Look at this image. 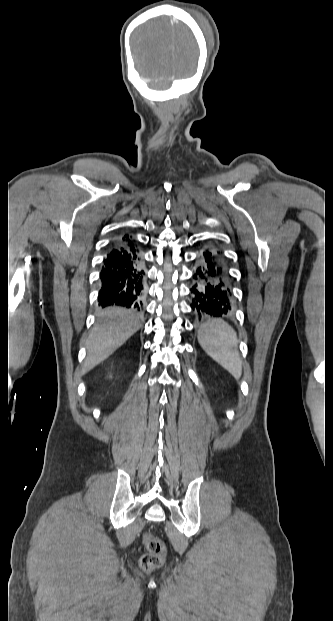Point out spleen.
Masks as SVG:
<instances>
[{
	"instance_id": "obj_1",
	"label": "spleen",
	"mask_w": 333,
	"mask_h": 621,
	"mask_svg": "<svg viewBox=\"0 0 333 621\" xmlns=\"http://www.w3.org/2000/svg\"><path fill=\"white\" fill-rule=\"evenodd\" d=\"M202 349L235 378L242 375V360L235 330L221 319H210L198 331Z\"/></svg>"
}]
</instances>
